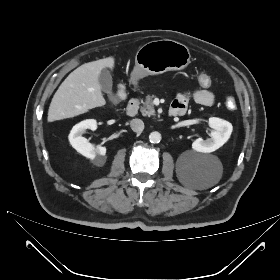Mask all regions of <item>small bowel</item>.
<instances>
[{
    "label": "small bowel",
    "mask_w": 280,
    "mask_h": 280,
    "mask_svg": "<svg viewBox=\"0 0 280 280\" xmlns=\"http://www.w3.org/2000/svg\"><path fill=\"white\" fill-rule=\"evenodd\" d=\"M193 99L196 103L204 106H211L215 101V95L212 91L199 88L189 95H178L172 102V107L178 109L180 114H184L187 110L189 100Z\"/></svg>",
    "instance_id": "obj_1"
}]
</instances>
